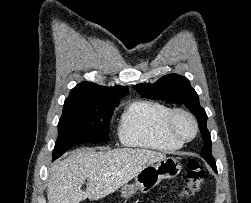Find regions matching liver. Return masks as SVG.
<instances>
[{"instance_id": "1", "label": "liver", "mask_w": 251, "mask_h": 203, "mask_svg": "<svg viewBox=\"0 0 251 203\" xmlns=\"http://www.w3.org/2000/svg\"><path fill=\"white\" fill-rule=\"evenodd\" d=\"M164 153L140 148L96 152L77 149L49 171L48 203L99 200L118 190L146 166L164 159ZM87 179L86 190L81 187Z\"/></svg>"}]
</instances>
